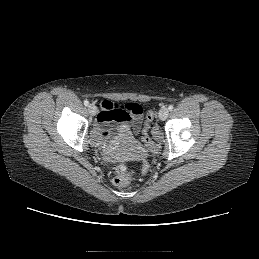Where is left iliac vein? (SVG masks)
Here are the masks:
<instances>
[{
  "mask_svg": "<svg viewBox=\"0 0 259 259\" xmlns=\"http://www.w3.org/2000/svg\"><path fill=\"white\" fill-rule=\"evenodd\" d=\"M169 115V110L166 107H162L159 111V118L165 120Z\"/></svg>",
  "mask_w": 259,
  "mask_h": 259,
  "instance_id": "1",
  "label": "left iliac vein"
}]
</instances>
